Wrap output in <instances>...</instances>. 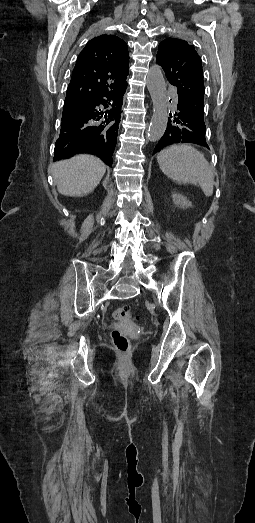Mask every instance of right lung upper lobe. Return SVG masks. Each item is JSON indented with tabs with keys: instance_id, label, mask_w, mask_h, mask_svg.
Listing matches in <instances>:
<instances>
[{
	"instance_id": "1",
	"label": "right lung upper lobe",
	"mask_w": 255,
	"mask_h": 523,
	"mask_svg": "<svg viewBox=\"0 0 255 523\" xmlns=\"http://www.w3.org/2000/svg\"><path fill=\"white\" fill-rule=\"evenodd\" d=\"M128 62L127 44L114 35L95 37L80 52L67 89L54 161L89 152L112 166L127 87ZM91 101L100 103V140L86 145L79 105Z\"/></svg>"
}]
</instances>
